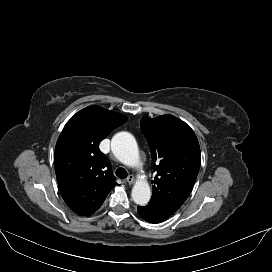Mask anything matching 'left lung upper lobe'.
Segmentation results:
<instances>
[{
  "label": "left lung upper lobe",
  "mask_w": 272,
  "mask_h": 272,
  "mask_svg": "<svg viewBox=\"0 0 272 272\" xmlns=\"http://www.w3.org/2000/svg\"><path fill=\"white\" fill-rule=\"evenodd\" d=\"M156 176L148 206L171 216L185 202L197 178L201 153L193 130L172 115L140 122Z\"/></svg>",
  "instance_id": "1"
}]
</instances>
